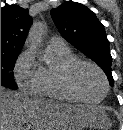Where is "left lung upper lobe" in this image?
Instances as JSON below:
<instances>
[{
    "label": "left lung upper lobe",
    "instance_id": "1",
    "mask_svg": "<svg viewBox=\"0 0 123 130\" xmlns=\"http://www.w3.org/2000/svg\"><path fill=\"white\" fill-rule=\"evenodd\" d=\"M51 17L61 35L97 63L113 86L109 41L96 15L86 6L68 1L52 9Z\"/></svg>",
    "mask_w": 123,
    "mask_h": 130
}]
</instances>
